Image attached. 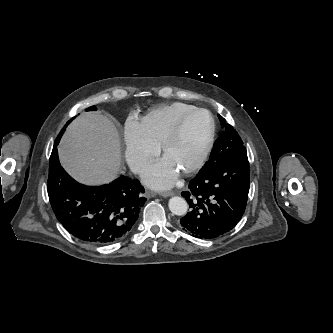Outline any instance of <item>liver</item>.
Instances as JSON below:
<instances>
[{"instance_id":"obj_1","label":"liver","mask_w":333,"mask_h":333,"mask_svg":"<svg viewBox=\"0 0 333 333\" xmlns=\"http://www.w3.org/2000/svg\"><path fill=\"white\" fill-rule=\"evenodd\" d=\"M60 162L80 183L97 185L113 180L120 168V139L115 125L100 113L78 116L58 147Z\"/></svg>"}]
</instances>
